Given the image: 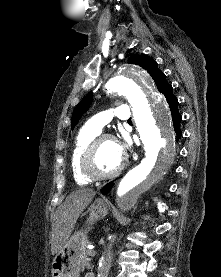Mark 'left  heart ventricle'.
Listing matches in <instances>:
<instances>
[{"label":"left heart ventricle","instance_id":"b2bd125f","mask_svg":"<svg viewBox=\"0 0 221 277\" xmlns=\"http://www.w3.org/2000/svg\"><path fill=\"white\" fill-rule=\"evenodd\" d=\"M122 157L116 142L104 141L94 156L93 168L98 173H109L118 167Z\"/></svg>","mask_w":221,"mask_h":277}]
</instances>
